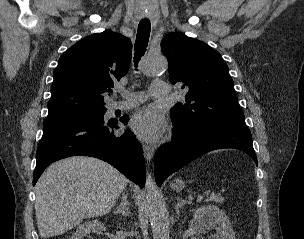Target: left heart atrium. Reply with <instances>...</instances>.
I'll use <instances>...</instances> for the list:
<instances>
[{
	"instance_id": "obj_1",
	"label": "left heart atrium",
	"mask_w": 304,
	"mask_h": 239,
	"mask_svg": "<svg viewBox=\"0 0 304 239\" xmlns=\"http://www.w3.org/2000/svg\"><path fill=\"white\" fill-rule=\"evenodd\" d=\"M128 127L140 139L155 141L164 133L166 120L158 110L146 107L131 117Z\"/></svg>"
}]
</instances>
